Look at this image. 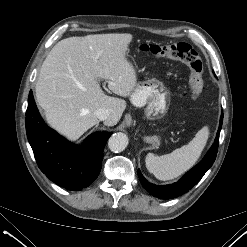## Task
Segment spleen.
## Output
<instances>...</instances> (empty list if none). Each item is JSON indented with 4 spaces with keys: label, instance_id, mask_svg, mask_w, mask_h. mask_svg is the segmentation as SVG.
Instances as JSON below:
<instances>
[{
    "label": "spleen",
    "instance_id": "obj_1",
    "mask_svg": "<svg viewBox=\"0 0 247 247\" xmlns=\"http://www.w3.org/2000/svg\"><path fill=\"white\" fill-rule=\"evenodd\" d=\"M209 137V129L204 126L195 137L181 148L171 153L146 157V167L159 180L174 179L189 170L199 159Z\"/></svg>",
    "mask_w": 247,
    "mask_h": 247
}]
</instances>
